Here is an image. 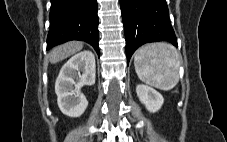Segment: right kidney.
<instances>
[{"label":"right kidney","instance_id":"obj_1","mask_svg":"<svg viewBox=\"0 0 227 142\" xmlns=\"http://www.w3.org/2000/svg\"><path fill=\"white\" fill-rule=\"evenodd\" d=\"M95 73V57L88 50L75 54L62 66L55 92L58 106L65 115L79 117L84 113L88 101L80 89L95 83Z\"/></svg>","mask_w":227,"mask_h":142}]
</instances>
